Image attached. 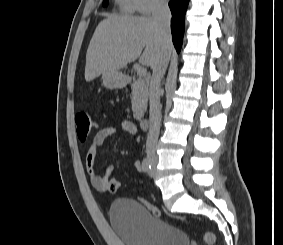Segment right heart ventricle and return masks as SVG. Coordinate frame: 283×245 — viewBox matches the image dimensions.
Listing matches in <instances>:
<instances>
[{"mask_svg":"<svg viewBox=\"0 0 283 245\" xmlns=\"http://www.w3.org/2000/svg\"><path fill=\"white\" fill-rule=\"evenodd\" d=\"M118 8L125 13H132L135 11L132 0H115Z\"/></svg>","mask_w":283,"mask_h":245,"instance_id":"obj_1","label":"right heart ventricle"}]
</instances>
